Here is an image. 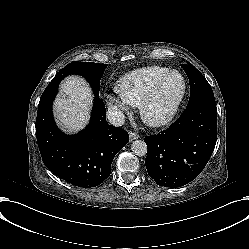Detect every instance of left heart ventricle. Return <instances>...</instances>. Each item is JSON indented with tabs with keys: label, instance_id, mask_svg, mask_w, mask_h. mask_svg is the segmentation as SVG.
<instances>
[{
	"label": "left heart ventricle",
	"instance_id": "b2bd125f",
	"mask_svg": "<svg viewBox=\"0 0 249 249\" xmlns=\"http://www.w3.org/2000/svg\"><path fill=\"white\" fill-rule=\"evenodd\" d=\"M181 90L180 79L172 75L157 93L153 101L146 107V114L150 118L164 117L171 109Z\"/></svg>",
	"mask_w": 249,
	"mask_h": 249
}]
</instances>
